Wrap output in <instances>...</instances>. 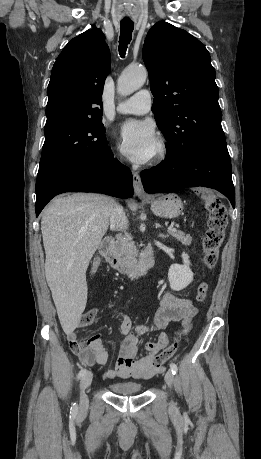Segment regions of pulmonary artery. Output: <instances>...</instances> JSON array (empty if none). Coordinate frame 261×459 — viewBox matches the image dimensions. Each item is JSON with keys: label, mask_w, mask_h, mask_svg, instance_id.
Masks as SVG:
<instances>
[{"label": "pulmonary artery", "mask_w": 261, "mask_h": 459, "mask_svg": "<svg viewBox=\"0 0 261 459\" xmlns=\"http://www.w3.org/2000/svg\"><path fill=\"white\" fill-rule=\"evenodd\" d=\"M151 94L143 89L135 93L130 98L117 105V111L121 114L141 115L147 113L151 108Z\"/></svg>", "instance_id": "pulmonary-artery-1"}]
</instances>
